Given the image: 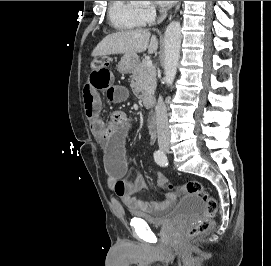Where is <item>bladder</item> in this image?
<instances>
[{
	"mask_svg": "<svg viewBox=\"0 0 271 266\" xmlns=\"http://www.w3.org/2000/svg\"><path fill=\"white\" fill-rule=\"evenodd\" d=\"M204 200L197 194H187L177 205L159 216H150L139 212H133L135 218L142 219L153 226H165L176 221L183 220L204 209Z\"/></svg>",
	"mask_w": 271,
	"mask_h": 266,
	"instance_id": "bladder-1",
	"label": "bladder"
}]
</instances>
